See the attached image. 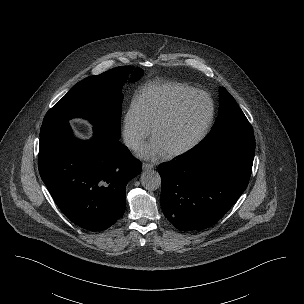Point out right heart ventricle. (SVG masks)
I'll list each match as a JSON object with an SVG mask.
<instances>
[{
    "mask_svg": "<svg viewBox=\"0 0 304 304\" xmlns=\"http://www.w3.org/2000/svg\"><path fill=\"white\" fill-rule=\"evenodd\" d=\"M194 91L195 88L178 82L150 84L141 90L137 102L145 119L152 126L180 98Z\"/></svg>",
    "mask_w": 304,
    "mask_h": 304,
    "instance_id": "e07e8e85",
    "label": "right heart ventricle"
}]
</instances>
